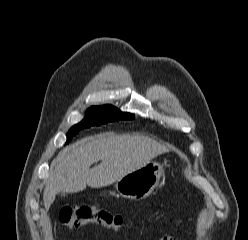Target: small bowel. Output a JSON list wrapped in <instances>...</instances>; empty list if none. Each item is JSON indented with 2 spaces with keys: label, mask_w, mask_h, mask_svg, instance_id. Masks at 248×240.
Wrapping results in <instances>:
<instances>
[{
  "label": "small bowel",
  "mask_w": 248,
  "mask_h": 240,
  "mask_svg": "<svg viewBox=\"0 0 248 240\" xmlns=\"http://www.w3.org/2000/svg\"><path fill=\"white\" fill-rule=\"evenodd\" d=\"M161 240H177V239L172 236H166V237H163Z\"/></svg>",
  "instance_id": "1"
}]
</instances>
